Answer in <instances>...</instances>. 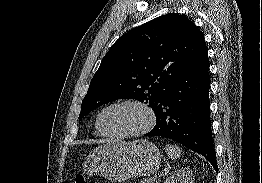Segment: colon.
Segmentation results:
<instances>
[{"label":"colon","instance_id":"colon-1","mask_svg":"<svg viewBox=\"0 0 262 183\" xmlns=\"http://www.w3.org/2000/svg\"><path fill=\"white\" fill-rule=\"evenodd\" d=\"M74 183H86L85 178L82 175H79L75 178Z\"/></svg>","mask_w":262,"mask_h":183}]
</instances>
